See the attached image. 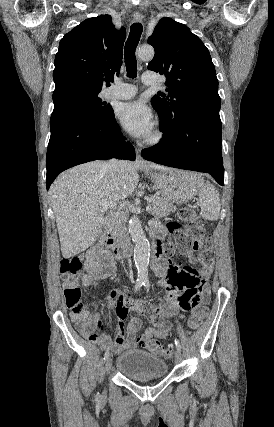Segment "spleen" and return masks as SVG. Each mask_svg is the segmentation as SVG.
Returning <instances> with one entry per match:
<instances>
[{"mask_svg": "<svg viewBox=\"0 0 274 427\" xmlns=\"http://www.w3.org/2000/svg\"><path fill=\"white\" fill-rule=\"evenodd\" d=\"M196 192H198L199 196L202 217L211 219V221L218 219L221 204L218 190H216L215 186L210 182L204 184L203 180H199Z\"/></svg>", "mask_w": 274, "mask_h": 427, "instance_id": "3e777b00", "label": "spleen"}]
</instances>
